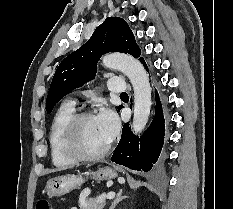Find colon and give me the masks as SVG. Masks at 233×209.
Returning a JSON list of instances; mask_svg holds the SVG:
<instances>
[{
    "mask_svg": "<svg viewBox=\"0 0 233 209\" xmlns=\"http://www.w3.org/2000/svg\"><path fill=\"white\" fill-rule=\"evenodd\" d=\"M36 209H52V206L47 199H40L36 204Z\"/></svg>",
    "mask_w": 233,
    "mask_h": 209,
    "instance_id": "5ec220e1",
    "label": "colon"
}]
</instances>
